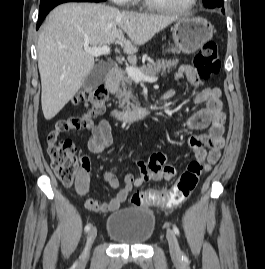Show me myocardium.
Listing matches in <instances>:
<instances>
[{
	"label": "myocardium",
	"mask_w": 265,
	"mask_h": 269,
	"mask_svg": "<svg viewBox=\"0 0 265 269\" xmlns=\"http://www.w3.org/2000/svg\"><path fill=\"white\" fill-rule=\"evenodd\" d=\"M143 1L148 7L158 11L185 13L190 11L196 5L198 0H190V2L187 5L182 7L166 5L157 0H143Z\"/></svg>",
	"instance_id": "f54148a6"
}]
</instances>
